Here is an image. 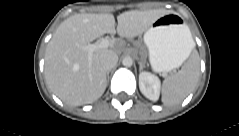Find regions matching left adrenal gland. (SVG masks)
Listing matches in <instances>:
<instances>
[{"label": "left adrenal gland", "mask_w": 239, "mask_h": 136, "mask_svg": "<svg viewBox=\"0 0 239 136\" xmlns=\"http://www.w3.org/2000/svg\"><path fill=\"white\" fill-rule=\"evenodd\" d=\"M144 67V62L139 61V70L141 71Z\"/></svg>", "instance_id": "left-adrenal-gland-1"}]
</instances>
